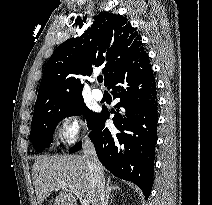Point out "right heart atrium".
Segmentation results:
<instances>
[{"mask_svg":"<svg viewBox=\"0 0 212 205\" xmlns=\"http://www.w3.org/2000/svg\"><path fill=\"white\" fill-rule=\"evenodd\" d=\"M85 133V123L76 113L62 117L58 126L59 139L68 145L74 144Z\"/></svg>","mask_w":212,"mask_h":205,"instance_id":"obj_1","label":"right heart atrium"}]
</instances>
